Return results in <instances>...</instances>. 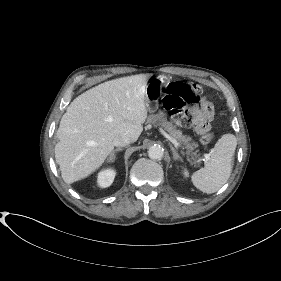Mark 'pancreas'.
<instances>
[{"instance_id": "cf45deb5", "label": "pancreas", "mask_w": 281, "mask_h": 281, "mask_svg": "<svg viewBox=\"0 0 281 281\" xmlns=\"http://www.w3.org/2000/svg\"><path fill=\"white\" fill-rule=\"evenodd\" d=\"M147 122L156 126L161 127L167 131L179 144H183L187 149V153H191L192 160L196 161L197 152H193L194 148L198 146L196 143H192V138L182 134V131L178 130L177 127L172 123L167 121L166 115L159 111L157 114H152L148 117Z\"/></svg>"}]
</instances>
